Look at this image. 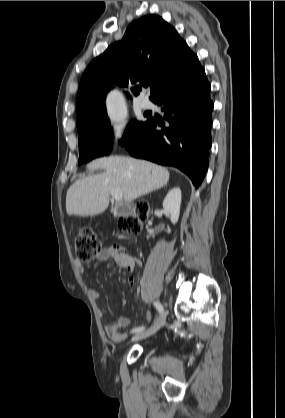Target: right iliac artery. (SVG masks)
Wrapping results in <instances>:
<instances>
[{
    "label": "right iliac artery",
    "instance_id": "1",
    "mask_svg": "<svg viewBox=\"0 0 285 418\" xmlns=\"http://www.w3.org/2000/svg\"><path fill=\"white\" fill-rule=\"evenodd\" d=\"M154 306L156 307V309H157L160 313L163 311V306L161 305V303H160V302H158V301L154 302ZM144 329H145V327H144V326H141V327H137V328L133 329V330H132V332H133V333H134V332H140V331H142V330H144Z\"/></svg>",
    "mask_w": 285,
    "mask_h": 418
}]
</instances>
